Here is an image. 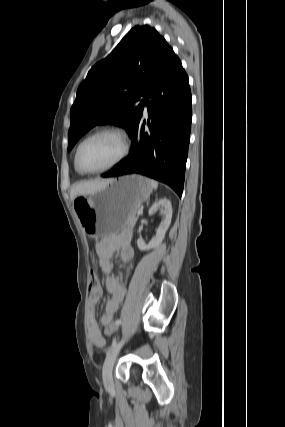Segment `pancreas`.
I'll return each mask as SVG.
<instances>
[{
    "mask_svg": "<svg viewBox=\"0 0 285 427\" xmlns=\"http://www.w3.org/2000/svg\"><path fill=\"white\" fill-rule=\"evenodd\" d=\"M137 218H138V216H137V212H136V211H135V212H132V213H131V215L129 216V219H128V223H129V225H133V224H135V222H136Z\"/></svg>",
    "mask_w": 285,
    "mask_h": 427,
    "instance_id": "cf45deb5",
    "label": "pancreas"
}]
</instances>
